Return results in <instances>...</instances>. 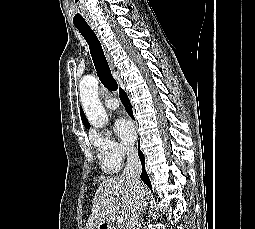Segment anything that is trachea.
I'll use <instances>...</instances> for the list:
<instances>
[{
  "instance_id": "3493384b",
  "label": "trachea",
  "mask_w": 255,
  "mask_h": 229,
  "mask_svg": "<svg viewBox=\"0 0 255 229\" xmlns=\"http://www.w3.org/2000/svg\"><path fill=\"white\" fill-rule=\"evenodd\" d=\"M74 25L89 45L90 54L101 83L106 88L116 91L118 84L111 74L108 62L97 35L87 24V22L74 23Z\"/></svg>"
}]
</instances>
